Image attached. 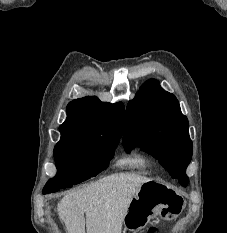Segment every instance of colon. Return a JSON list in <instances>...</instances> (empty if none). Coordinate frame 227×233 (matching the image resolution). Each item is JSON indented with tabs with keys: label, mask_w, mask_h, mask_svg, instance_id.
I'll list each match as a JSON object with an SVG mask.
<instances>
[{
	"label": "colon",
	"mask_w": 227,
	"mask_h": 233,
	"mask_svg": "<svg viewBox=\"0 0 227 233\" xmlns=\"http://www.w3.org/2000/svg\"><path fill=\"white\" fill-rule=\"evenodd\" d=\"M148 233H157V231L155 228H151V229H149Z\"/></svg>",
	"instance_id": "obj_1"
}]
</instances>
